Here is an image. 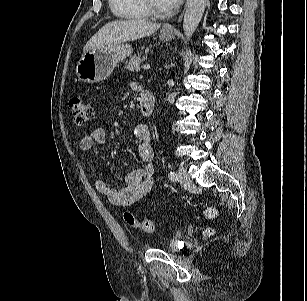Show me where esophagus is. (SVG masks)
<instances>
[{"label":"esophagus","instance_id":"34e87169","mask_svg":"<svg viewBox=\"0 0 307 301\" xmlns=\"http://www.w3.org/2000/svg\"><path fill=\"white\" fill-rule=\"evenodd\" d=\"M187 4H188V1L186 2L185 7L187 6ZM182 16H183V13H181V15L179 16V18L177 19V22H180V21H181ZM165 29L168 30V31H175V26H174V25H168V26L165 27Z\"/></svg>","mask_w":307,"mask_h":301}]
</instances>
